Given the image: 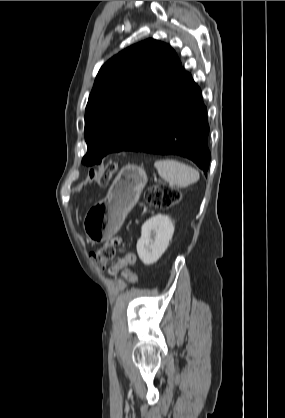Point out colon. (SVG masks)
<instances>
[{
  "mask_svg": "<svg viewBox=\"0 0 285 418\" xmlns=\"http://www.w3.org/2000/svg\"><path fill=\"white\" fill-rule=\"evenodd\" d=\"M116 170V164L109 162L103 167H99L90 171L89 179L96 181L99 185L106 187L110 183V177ZM181 197V193L177 189H173L166 184L160 183L149 187L144 192V198L146 202L154 208H169L176 205ZM115 256V248L110 244L102 245L90 254L91 261L95 266L104 270L107 263L111 261ZM130 261L123 262L120 268H125L128 265L133 264L134 255L127 256Z\"/></svg>",
  "mask_w": 285,
  "mask_h": 418,
  "instance_id": "1",
  "label": "colon"
}]
</instances>
